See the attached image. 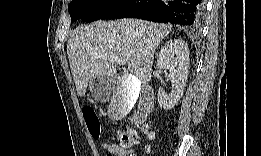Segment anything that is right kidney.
<instances>
[{"label": "right kidney", "mask_w": 261, "mask_h": 156, "mask_svg": "<svg viewBox=\"0 0 261 156\" xmlns=\"http://www.w3.org/2000/svg\"><path fill=\"white\" fill-rule=\"evenodd\" d=\"M157 67L160 70L168 69L170 71L169 79L172 82V91L166 93L163 88L158 90V103L161 108L169 110L173 108L183 95L186 86L189 70V48L181 39L170 40L161 48ZM124 83V79H122ZM136 87V82H134ZM138 92L134 91L131 100L137 97Z\"/></svg>", "instance_id": "ca27d5eb"}]
</instances>
